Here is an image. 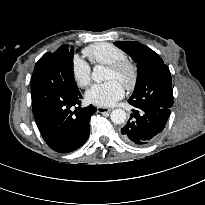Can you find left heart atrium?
Returning <instances> with one entry per match:
<instances>
[{"label": "left heart atrium", "mask_w": 205, "mask_h": 205, "mask_svg": "<svg viewBox=\"0 0 205 205\" xmlns=\"http://www.w3.org/2000/svg\"><path fill=\"white\" fill-rule=\"evenodd\" d=\"M124 96L123 84L117 80H109L94 85L85 95L89 104L99 107L114 106Z\"/></svg>", "instance_id": "obj_1"}]
</instances>
